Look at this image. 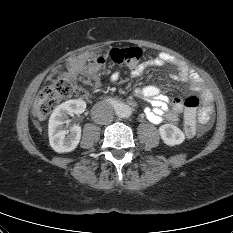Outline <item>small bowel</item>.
<instances>
[{"instance_id": "1", "label": "small bowel", "mask_w": 233, "mask_h": 233, "mask_svg": "<svg viewBox=\"0 0 233 233\" xmlns=\"http://www.w3.org/2000/svg\"><path fill=\"white\" fill-rule=\"evenodd\" d=\"M174 59L167 53H160L156 57L149 59L139 65H135L132 71L133 76H139L149 66H162L167 63H174ZM75 67L81 70L84 67V58L80 57L74 61ZM175 80L186 81L191 88L200 95L201 107L196 113L195 132H205L209 129L212 116V96L199 75L188 67L178 65L177 69L171 74ZM110 81L117 82L120 73L114 71L110 74ZM136 94L144 97L150 102V107L146 108L147 119L154 124H161L165 121L175 122L180 118L184 111V102L175 98L170 100L162 93L161 87L146 86L136 90ZM198 122V127H197Z\"/></svg>"}]
</instances>
